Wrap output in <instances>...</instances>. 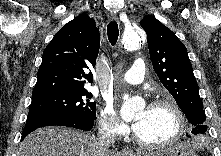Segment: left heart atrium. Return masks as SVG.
<instances>
[{"label": "left heart atrium", "instance_id": "obj_1", "mask_svg": "<svg viewBox=\"0 0 221 156\" xmlns=\"http://www.w3.org/2000/svg\"><path fill=\"white\" fill-rule=\"evenodd\" d=\"M141 125V119L139 120H136L134 123H133V128L134 130L136 131Z\"/></svg>", "mask_w": 221, "mask_h": 156}]
</instances>
